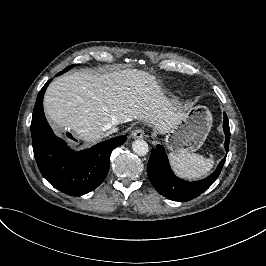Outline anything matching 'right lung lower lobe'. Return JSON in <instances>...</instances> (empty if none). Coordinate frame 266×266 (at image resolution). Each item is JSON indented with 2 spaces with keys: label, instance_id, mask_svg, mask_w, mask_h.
<instances>
[{
  "label": "right lung lower lobe",
  "instance_id": "98d812e1",
  "mask_svg": "<svg viewBox=\"0 0 266 266\" xmlns=\"http://www.w3.org/2000/svg\"><path fill=\"white\" fill-rule=\"evenodd\" d=\"M50 82L40 90L34 106L31 123L34 156L40 172L51 185L68 195L81 196L103 182L112 150L127 137H115L79 152L71 150L53 133L43 112V97Z\"/></svg>",
  "mask_w": 266,
  "mask_h": 266
}]
</instances>
